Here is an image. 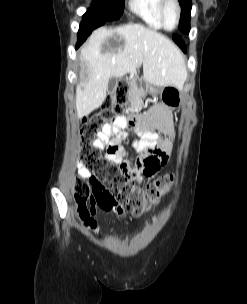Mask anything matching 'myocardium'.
I'll use <instances>...</instances> for the list:
<instances>
[{
  "mask_svg": "<svg viewBox=\"0 0 247 304\" xmlns=\"http://www.w3.org/2000/svg\"><path fill=\"white\" fill-rule=\"evenodd\" d=\"M169 4H173L176 7V11H177V20H176V24L173 28L167 27L166 20H165V11ZM159 16H160V20L163 25V28L165 30L172 31V30L176 29L179 26V23L181 20V5H180L179 0H161L160 6H159Z\"/></svg>",
  "mask_w": 247,
  "mask_h": 304,
  "instance_id": "f54148a6",
  "label": "myocardium"
}]
</instances>
